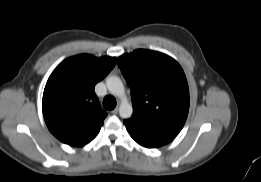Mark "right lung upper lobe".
Instances as JSON below:
<instances>
[{"mask_svg": "<svg viewBox=\"0 0 261 182\" xmlns=\"http://www.w3.org/2000/svg\"><path fill=\"white\" fill-rule=\"evenodd\" d=\"M115 64V57L81 54L53 71L44 89L42 109L46 125L57 139L81 147L96 137L107 114L100 110L94 87Z\"/></svg>", "mask_w": 261, "mask_h": 182, "instance_id": "right-lung-upper-lobe-1", "label": "right lung upper lobe"}]
</instances>
